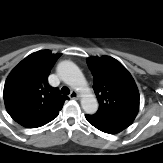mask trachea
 <instances>
[{
	"mask_svg": "<svg viewBox=\"0 0 163 163\" xmlns=\"http://www.w3.org/2000/svg\"><path fill=\"white\" fill-rule=\"evenodd\" d=\"M61 93L68 95L70 93V90L67 87L64 86V87L61 88Z\"/></svg>",
	"mask_w": 163,
	"mask_h": 163,
	"instance_id": "trachea-1",
	"label": "trachea"
}]
</instances>
